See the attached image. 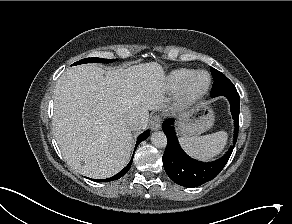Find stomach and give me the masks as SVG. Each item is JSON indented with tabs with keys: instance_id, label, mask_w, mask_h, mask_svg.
<instances>
[{
	"instance_id": "0dacf381",
	"label": "stomach",
	"mask_w": 292,
	"mask_h": 224,
	"mask_svg": "<svg viewBox=\"0 0 292 224\" xmlns=\"http://www.w3.org/2000/svg\"><path fill=\"white\" fill-rule=\"evenodd\" d=\"M179 133L183 136H197L209 130L215 120V113L209 101H201L179 117Z\"/></svg>"
}]
</instances>
